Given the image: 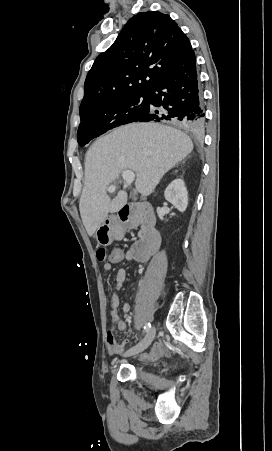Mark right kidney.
I'll list each match as a JSON object with an SVG mask.
<instances>
[{
    "mask_svg": "<svg viewBox=\"0 0 272 451\" xmlns=\"http://www.w3.org/2000/svg\"><path fill=\"white\" fill-rule=\"evenodd\" d=\"M165 200L173 204L179 212H185L188 206V192L183 180H173L164 192Z\"/></svg>",
    "mask_w": 272,
    "mask_h": 451,
    "instance_id": "ca27d5eb",
    "label": "right kidney"
}]
</instances>
